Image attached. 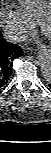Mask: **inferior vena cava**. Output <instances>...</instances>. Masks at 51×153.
<instances>
[{
  "instance_id": "obj_1",
  "label": "inferior vena cava",
  "mask_w": 51,
  "mask_h": 153,
  "mask_svg": "<svg viewBox=\"0 0 51 153\" xmlns=\"http://www.w3.org/2000/svg\"><path fill=\"white\" fill-rule=\"evenodd\" d=\"M2 34L3 37L9 42H20L26 38L21 31L15 28H5Z\"/></svg>"
}]
</instances>
